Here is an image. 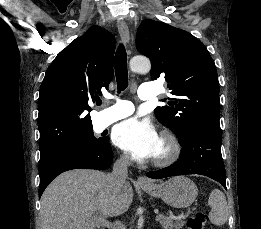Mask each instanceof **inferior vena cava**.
Here are the masks:
<instances>
[{
  "mask_svg": "<svg viewBox=\"0 0 261 229\" xmlns=\"http://www.w3.org/2000/svg\"><path fill=\"white\" fill-rule=\"evenodd\" d=\"M130 163L127 157H120L118 161H115L113 165V171L108 175V181L113 189L114 193L120 191V187H123L128 177V167Z\"/></svg>",
  "mask_w": 261,
  "mask_h": 229,
  "instance_id": "602c4592",
  "label": "inferior vena cava"
}]
</instances>
